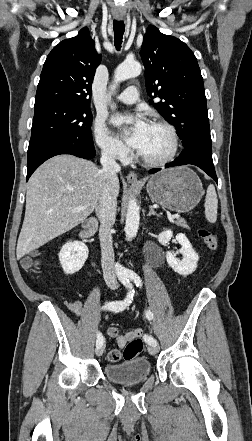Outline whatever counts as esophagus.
<instances>
[{
	"label": "esophagus",
	"mask_w": 252,
	"mask_h": 441,
	"mask_svg": "<svg viewBox=\"0 0 252 441\" xmlns=\"http://www.w3.org/2000/svg\"><path fill=\"white\" fill-rule=\"evenodd\" d=\"M127 180H128L129 182H132V183H138V182H139V181H138L137 174L134 173V172H130V173L128 174V176H127Z\"/></svg>",
	"instance_id": "obj_1"
}]
</instances>
